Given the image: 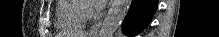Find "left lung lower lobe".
Wrapping results in <instances>:
<instances>
[{"label": "left lung lower lobe", "instance_id": "1", "mask_svg": "<svg viewBox=\"0 0 219 37\" xmlns=\"http://www.w3.org/2000/svg\"><path fill=\"white\" fill-rule=\"evenodd\" d=\"M158 0H133L122 29L127 35L141 32L150 23L157 9Z\"/></svg>", "mask_w": 219, "mask_h": 37}]
</instances>
